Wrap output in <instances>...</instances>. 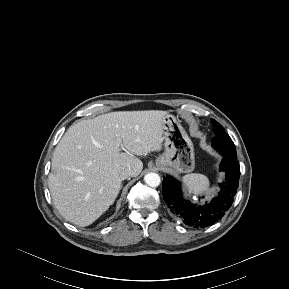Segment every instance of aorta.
Listing matches in <instances>:
<instances>
[{
    "mask_svg": "<svg viewBox=\"0 0 289 289\" xmlns=\"http://www.w3.org/2000/svg\"><path fill=\"white\" fill-rule=\"evenodd\" d=\"M144 181L150 187H157L160 185L161 179L157 173H148L144 176Z\"/></svg>",
    "mask_w": 289,
    "mask_h": 289,
    "instance_id": "1",
    "label": "aorta"
}]
</instances>
